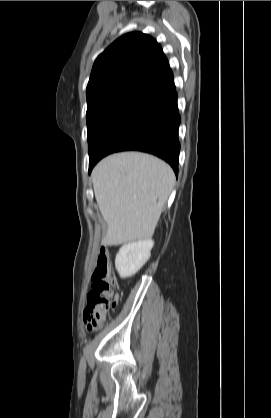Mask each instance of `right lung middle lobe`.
Wrapping results in <instances>:
<instances>
[{
	"label": "right lung middle lobe",
	"mask_w": 271,
	"mask_h": 418,
	"mask_svg": "<svg viewBox=\"0 0 271 418\" xmlns=\"http://www.w3.org/2000/svg\"><path fill=\"white\" fill-rule=\"evenodd\" d=\"M151 104L137 97L120 96L89 105L86 113L89 165L116 132Z\"/></svg>",
	"instance_id": "dd1d6c3e"
}]
</instances>
